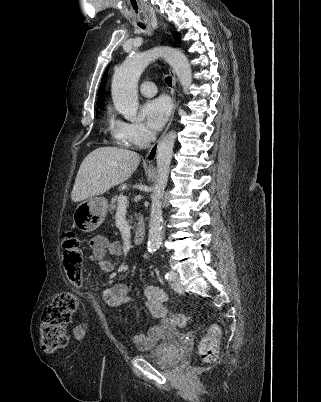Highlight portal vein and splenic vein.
<instances>
[{"label": "portal vein and splenic vein", "instance_id": "portal-vein-and-splenic-vein-1", "mask_svg": "<svg viewBox=\"0 0 321 402\" xmlns=\"http://www.w3.org/2000/svg\"><path fill=\"white\" fill-rule=\"evenodd\" d=\"M128 205V199L126 196H121L118 200V207H126Z\"/></svg>", "mask_w": 321, "mask_h": 402}]
</instances>
